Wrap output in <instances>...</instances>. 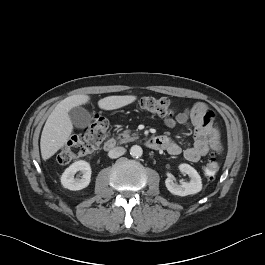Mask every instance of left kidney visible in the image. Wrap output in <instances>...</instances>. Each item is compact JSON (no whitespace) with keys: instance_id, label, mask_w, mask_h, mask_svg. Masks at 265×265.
<instances>
[{"instance_id":"1","label":"left kidney","mask_w":265,"mask_h":265,"mask_svg":"<svg viewBox=\"0 0 265 265\" xmlns=\"http://www.w3.org/2000/svg\"><path fill=\"white\" fill-rule=\"evenodd\" d=\"M179 170L186 173L190 177V181L178 184L174 182L173 178L168 177L165 180V185L170 193L178 196H187L196 194L202 190L201 177L192 166L183 163L179 165Z\"/></svg>"}]
</instances>
